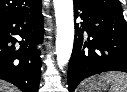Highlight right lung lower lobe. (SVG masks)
<instances>
[{
    "instance_id": "obj_1",
    "label": "right lung lower lobe",
    "mask_w": 127,
    "mask_h": 92,
    "mask_svg": "<svg viewBox=\"0 0 127 92\" xmlns=\"http://www.w3.org/2000/svg\"><path fill=\"white\" fill-rule=\"evenodd\" d=\"M41 2L34 9L0 19V79L23 92H38L43 41Z\"/></svg>"
}]
</instances>
